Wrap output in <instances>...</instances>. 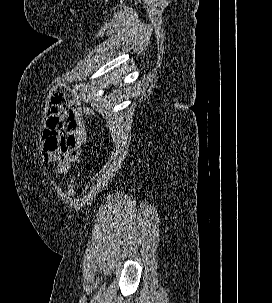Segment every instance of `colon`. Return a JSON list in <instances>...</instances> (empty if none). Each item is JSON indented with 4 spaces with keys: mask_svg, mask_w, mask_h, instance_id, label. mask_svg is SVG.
<instances>
[{
    "mask_svg": "<svg viewBox=\"0 0 272 303\" xmlns=\"http://www.w3.org/2000/svg\"><path fill=\"white\" fill-rule=\"evenodd\" d=\"M84 112L86 115L88 116H93L94 115V110L90 107V106H87L85 109H84ZM69 192L70 193H73L74 191V177L72 176L70 181H69Z\"/></svg>",
    "mask_w": 272,
    "mask_h": 303,
    "instance_id": "1",
    "label": "colon"
}]
</instances>
